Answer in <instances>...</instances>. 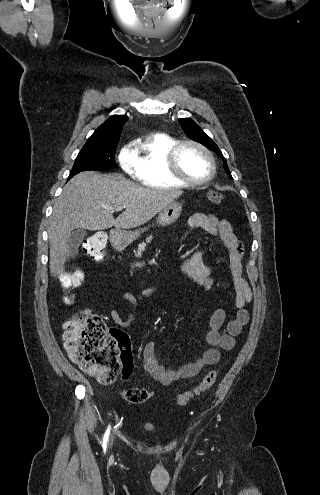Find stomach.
<instances>
[{
	"mask_svg": "<svg viewBox=\"0 0 320 495\" xmlns=\"http://www.w3.org/2000/svg\"><path fill=\"white\" fill-rule=\"evenodd\" d=\"M182 212V204L172 202L165 208H163L157 218V224L165 227L173 224L180 216ZM148 228H144L138 231H118L115 232L112 237V242L116 247H125L132 243L140 236L141 232H144Z\"/></svg>",
	"mask_w": 320,
	"mask_h": 495,
	"instance_id": "0dacf381",
	"label": "stomach"
}]
</instances>
